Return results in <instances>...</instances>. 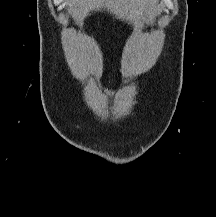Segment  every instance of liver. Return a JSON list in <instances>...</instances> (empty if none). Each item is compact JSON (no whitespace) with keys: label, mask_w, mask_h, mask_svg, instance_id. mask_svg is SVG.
<instances>
[{"label":"liver","mask_w":216,"mask_h":217,"mask_svg":"<svg viewBox=\"0 0 216 217\" xmlns=\"http://www.w3.org/2000/svg\"><path fill=\"white\" fill-rule=\"evenodd\" d=\"M154 0H68L69 11L73 17L83 20L90 11L107 10L122 21H128L142 28L143 13Z\"/></svg>","instance_id":"6515ba94"}]
</instances>
